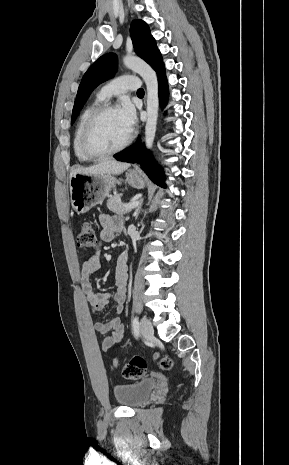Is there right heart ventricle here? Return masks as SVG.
<instances>
[{
    "label": "right heart ventricle",
    "mask_w": 289,
    "mask_h": 465,
    "mask_svg": "<svg viewBox=\"0 0 289 465\" xmlns=\"http://www.w3.org/2000/svg\"><path fill=\"white\" fill-rule=\"evenodd\" d=\"M101 101L102 99L97 98L92 103L87 105L84 108V110L81 112L78 118L76 127H75V131L73 135V149H74V153L78 161L83 162V163L89 162L92 160L91 158L87 157L82 151L81 138H82L83 128H84L86 120L88 119L90 114L99 106Z\"/></svg>",
    "instance_id": "1"
}]
</instances>
